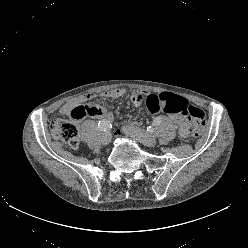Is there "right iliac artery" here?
Listing matches in <instances>:
<instances>
[{
    "label": "right iliac artery",
    "mask_w": 248,
    "mask_h": 248,
    "mask_svg": "<svg viewBox=\"0 0 248 248\" xmlns=\"http://www.w3.org/2000/svg\"><path fill=\"white\" fill-rule=\"evenodd\" d=\"M109 126H110L109 122L105 119L99 121L98 123V128L102 132L106 131L109 128Z\"/></svg>",
    "instance_id": "right-iliac-artery-1"
}]
</instances>
